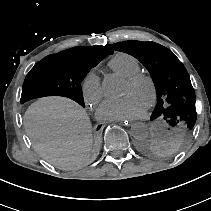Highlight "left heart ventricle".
I'll return each instance as SVG.
<instances>
[{
    "mask_svg": "<svg viewBox=\"0 0 211 211\" xmlns=\"http://www.w3.org/2000/svg\"><path fill=\"white\" fill-rule=\"evenodd\" d=\"M122 94H132L139 101H141L145 106L149 101L150 98V90L146 83H141L138 86H131L127 82L124 83Z\"/></svg>",
    "mask_w": 211,
    "mask_h": 211,
    "instance_id": "b2bd125f",
    "label": "left heart ventricle"
}]
</instances>
